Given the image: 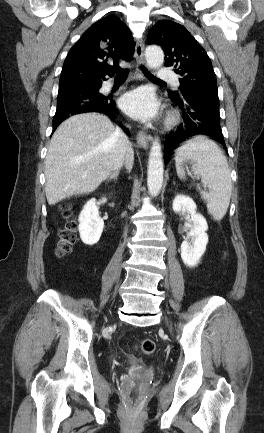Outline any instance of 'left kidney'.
I'll use <instances>...</instances> for the list:
<instances>
[{
	"label": "left kidney",
	"mask_w": 264,
	"mask_h": 433,
	"mask_svg": "<svg viewBox=\"0 0 264 433\" xmlns=\"http://www.w3.org/2000/svg\"><path fill=\"white\" fill-rule=\"evenodd\" d=\"M173 211L190 215L191 230L188 237L181 244V258L183 263L193 268L197 266L208 243V224L206 219L196 212L197 206L192 198L177 195L173 200Z\"/></svg>",
	"instance_id": "5707ae66"
}]
</instances>
